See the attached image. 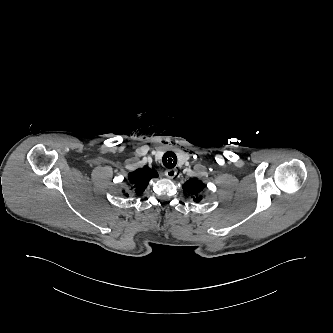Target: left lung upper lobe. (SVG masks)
<instances>
[{"label":"left lung upper lobe","mask_w":333,"mask_h":333,"mask_svg":"<svg viewBox=\"0 0 333 333\" xmlns=\"http://www.w3.org/2000/svg\"><path fill=\"white\" fill-rule=\"evenodd\" d=\"M185 195H192L194 196L193 200L195 202H200L202 200L201 192L204 190L205 185L195 178H192L188 180L183 186H182Z\"/></svg>","instance_id":"left-lung-upper-lobe-1"}]
</instances>
